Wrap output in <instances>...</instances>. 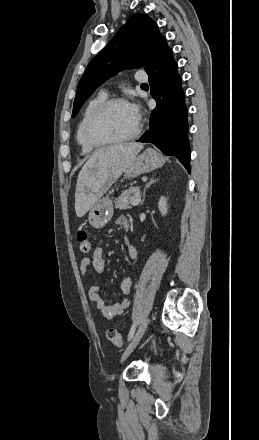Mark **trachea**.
<instances>
[{"mask_svg": "<svg viewBox=\"0 0 259 440\" xmlns=\"http://www.w3.org/2000/svg\"><path fill=\"white\" fill-rule=\"evenodd\" d=\"M147 84H142V86H146Z\"/></svg>", "mask_w": 259, "mask_h": 440, "instance_id": "trachea-1", "label": "trachea"}]
</instances>
